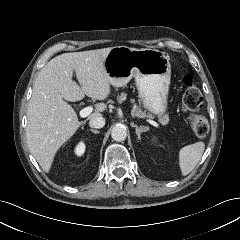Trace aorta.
Listing matches in <instances>:
<instances>
[{
	"label": "aorta",
	"mask_w": 240,
	"mask_h": 240,
	"mask_svg": "<svg viewBox=\"0 0 240 240\" xmlns=\"http://www.w3.org/2000/svg\"><path fill=\"white\" fill-rule=\"evenodd\" d=\"M111 137L117 142L124 141L127 137L126 128L122 125H116L111 130Z\"/></svg>",
	"instance_id": "obj_1"
}]
</instances>
